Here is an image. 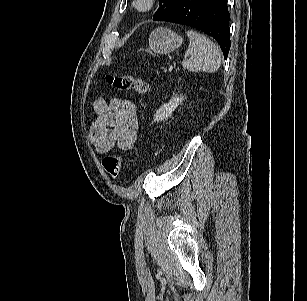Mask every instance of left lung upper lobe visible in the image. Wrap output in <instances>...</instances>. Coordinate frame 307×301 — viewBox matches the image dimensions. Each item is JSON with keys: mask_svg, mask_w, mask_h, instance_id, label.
Listing matches in <instances>:
<instances>
[{"mask_svg": "<svg viewBox=\"0 0 307 301\" xmlns=\"http://www.w3.org/2000/svg\"><path fill=\"white\" fill-rule=\"evenodd\" d=\"M179 0H160L159 9L153 16V20H158L165 14H167L177 3Z\"/></svg>", "mask_w": 307, "mask_h": 301, "instance_id": "obj_1", "label": "left lung upper lobe"}]
</instances>
